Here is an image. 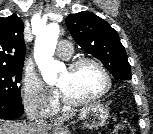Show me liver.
<instances>
[{
	"mask_svg": "<svg viewBox=\"0 0 153 134\" xmlns=\"http://www.w3.org/2000/svg\"><path fill=\"white\" fill-rule=\"evenodd\" d=\"M75 111L64 114L58 121L66 120L75 115ZM0 134H28V124H19L16 122L0 119Z\"/></svg>",
	"mask_w": 153,
	"mask_h": 134,
	"instance_id": "obj_1",
	"label": "liver"
}]
</instances>
